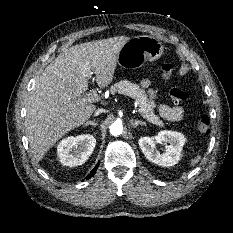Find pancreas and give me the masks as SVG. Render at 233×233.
<instances>
[{"label":"pancreas","instance_id":"obj_1","mask_svg":"<svg viewBox=\"0 0 233 233\" xmlns=\"http://www.w3.org/2000/svg\"><path fill=\"white\" fill-rule=\"evenodd\" d=\"M113 93L118 92L133 98L140 107V114L148 122L155 124L159 127H164L163 121L155 114V103L148 98L144 90H142L139 85L134 84L127 80H122L115 83L111 87Z\"/></svg>","mask_w":233,"mask_h":233}]
</instances>
